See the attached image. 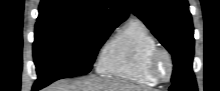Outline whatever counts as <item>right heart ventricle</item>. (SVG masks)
Masks as SVG:
<instances>
[{
	"label": "right heart ventricle",
	"mask_w": 220,
	"mask_h": 91,
	"mask_svg": "<svg viewBox=\"0 0 220 91\" xmlns=\"http://www.w3.org/2000/svg\"><path fill=\"white\" fill-rule=\"evenodd\" d=\"M156 48L158 43L146 24L131 18L102 49L97 71L104 76L155 86L157 81L149 75L147 61Z\"/></svg>",
	"instance_id": "obj_1"
}]
</instances>
